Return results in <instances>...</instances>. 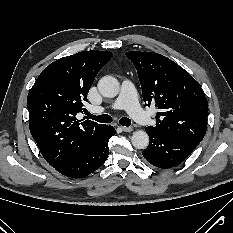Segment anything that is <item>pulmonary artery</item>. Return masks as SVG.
I'll return each mask as SVG.
<instances>
[{
    "label": "pulmonary artery",
    "instance_id": "obj_1",
    "mask_svg": "<svg viewBox=\"0 0 233 233\" xmlns=\"http://www.w3.org/2000/svg\"><path fill=\"white\" fill-rule=\"evenodd\" d=\"M111 109L126 110L137 122L142 124H150V116L140 107L137 99L136 89L129 80H124L121 85L119 96L110 106ZM91 111L100 114L105 111L104 107H93Z\"/></svg>",
    "mask_w": 233,
    "mask_h": 233
}]
</instances>
